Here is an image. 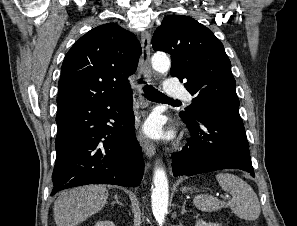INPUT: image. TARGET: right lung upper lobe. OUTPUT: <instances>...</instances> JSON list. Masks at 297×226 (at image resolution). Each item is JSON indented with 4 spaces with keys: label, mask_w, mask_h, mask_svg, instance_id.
<instances>
[{
    "label": "right lung upper lobe",
    "mask_w": 297,
    "mask_h": 226,
    "mask_svg": "<svg viewBox=\"0 0 297 226\" xmlns=\"http://www.w3.org/2000/svg\"><path fill=\"white\" fill-rule=\"evenodd\" d=\"M140 54L135 35L115 23L90 30L64 58L58 106L84 98L130 93L128 77L135 73Z\"/></svg>",
    "instance_id": "obj_1"
}]
</instances>
